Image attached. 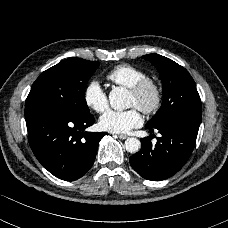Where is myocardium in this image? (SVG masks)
<instances>
[{"instance_id": "obj_1", "label": "myocardium", "mask_w": 228, "mask_h": 228, "mask_svg": "<svg viewBox=\"0 0 228 228\" xmlns=\"http://www.w3.org/2000/svg\"><path fill=\"white\" fill-rule=\"evenodd\" d=\"M151 92L152 98L145 100V96ZM130 93L138 98L137 108L146 114L156 112L161 104L163 92L161 85L153 78H144L130 88Z\"/></svg>"}]
</instances>
